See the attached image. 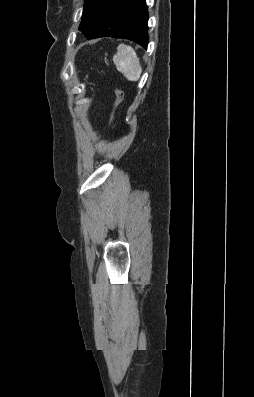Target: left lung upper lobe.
Returning a JSON list of instances; mask_svg holds the SVG:
<instances>
[{
    "instance_id": "obj_1",
    "label": "left lung upper lobe",
    "mask_w": 254,
    "mask_h": 397,
    "mask_svg": "<svg viewBox=\"0 0 254 397\" xmlns=\"http://www.w3.org/2000/svg\"><path fill=\"white\" fill-rule=\"evenodd\" d=\"M107 1L108 0H85L79 30L82 31L86 37L91 35L99 24L108 6Z\"/></svg>"
}]
</instances>
